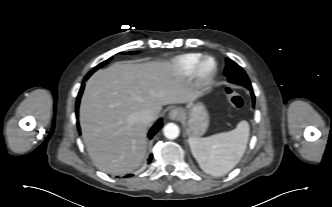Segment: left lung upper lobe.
Here are the masks:
<instances>
[{
    "mask_svg": "<svg viewBox=\"0 0 332 207\" xmlns=\"http://www.w3.org/2000/svg\"><path fill=\"white\" fill-rule=\"evenodd\" d=\"M224 75L231 83L242 85L246 88L251 87L250 80L245 71L234 61L227 58Z\"/></svg>",
    "mask_w": 332,
    "mask_h": 207,
    "instance_id": "obj_1",
    "label": "left lung upper lobe"
}]
</instances>
